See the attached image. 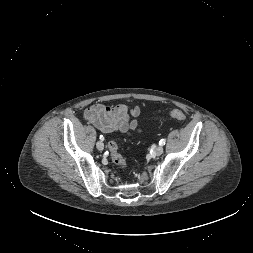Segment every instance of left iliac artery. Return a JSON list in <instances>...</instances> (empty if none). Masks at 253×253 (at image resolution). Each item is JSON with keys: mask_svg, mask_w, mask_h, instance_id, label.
I'll list each match as a JSON object with an SVG mask.
<instances>
[{"mask_svg": "<svg viewBox=\"0 0 253 253\" xmlns=\"http://www.w3.org/2000/svg\"><path fill=\"white\" fill-rule=\"evenodd\" d=\"M165 142H166L165 139H161L160 142H159V144H160V145H165Z\"/></svg>", "mask_w": 253, "mask_h": 253, "instance_id": "left-iliac-artery-1", "label": "left iliac artery"}]
</instances>
